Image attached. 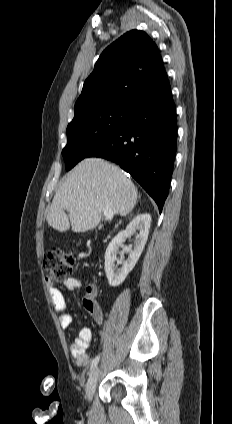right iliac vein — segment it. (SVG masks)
Segmentation results:
<instances>
[{"label":"right iliac vein","instance_id":"right-iliac-vein-1","mask_svg":"<svg viewBox=\"0 0 232 424\" xmlns=\"http://www.w3.org/2000/svg\"><path fill=\"white\" fill-rule=\"evenodd\" d=\"M98 375H99V369L96 368L92 371V373L90 374V377L87 381L86 384V389H85V395L88 401H91L93 394L95 392V388H96V384H97V380H98Z\"/></svg>","mask_w":232,"mask_h":424}]
</instances>
